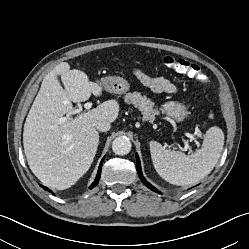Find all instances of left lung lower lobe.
<instances>
[{"label": "left lung lower lobe", "instance_id": "left-lung-lower-lobe-1", "mask_svg": "<svg viewBox=\"0 0 249 249\" xmlns=\"http://www.w3.org/2000/svg\"><path fill=\"white\" fill-rule=\"evenodd\" d=\"M136 163H137V172H138V175H139L141 181H142L148 188H150L152 191L157 192V189H156L155 187H153L150 183H148V182L144 179V177H143V175H142V170H141V165H140V159H139L138 154H136Z\"/></svg>", "mask_w": 249, "mask_h": 249}]
</instances>
